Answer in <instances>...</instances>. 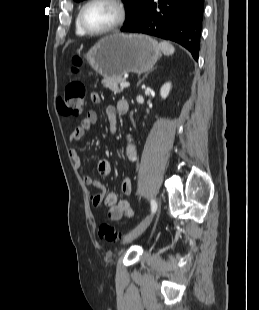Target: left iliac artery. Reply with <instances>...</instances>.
<instances>
[{"label":"left iliac artery","mask_w":259,"mask_h":310,"mask_svg":"<svg viewBox=\"0 0 259 310\" xmlns=\"http://www.w3.org/2000/svg\"><path fill=\"white\" fill-rule=\"evenodd\" d=\"M157 210V203L154 199H151V211L152 213H155Z\"/></svg>","instance_id":"left-iliac-artery-1"}]
</instances>
